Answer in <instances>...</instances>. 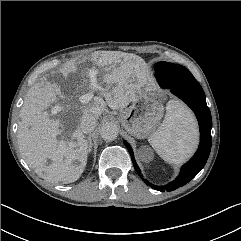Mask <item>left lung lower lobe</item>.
I'll return each instance as SVG.
<instances>
[{
  "instance_id": "left-lung-lower-lobe-1",
  "label": "left lung lower lobe",
  "mask_w": 241,
  "mask_h": 241,
  "mask_svg": "<svg viewBox=\"0 0 241 241\" xmlns=\"http://www.w3.org/2000/svg\"><path fill=\"white\" fill-rule=\"evenodd\" d=\"M158 83L162 88L170 89L173 94L182 99L195 113L200 128V144L195 155L181 168V172L176 180L170 182L165 186H155L143 179L145 183L153 189L164 192L172 191L179 187L184 186L191 179H193L199 171L204 167L209 157L211 150V128L212 119L210 110L206 104L204 91L200 84L196 81L180 86H170L160 76L155 75ZM125 146L129 150L132 162L136 172L140 175V170L135 162L132 148L124 141Z\"/></svg>"
}]
</instances>
